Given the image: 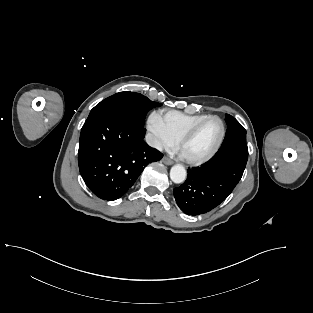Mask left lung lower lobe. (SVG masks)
I'll use <instances>...</instances> for the list:
<instances>
[{"mask_svg": "<svg viewBox=\"0 0 313 313\" xmlns=\"http://www.w3.org/2000/svg\"><path fill=\"white\" fill-rule=\"evenodd\" d=\"M248 159L246 140L228 141L205 164L188 170L173 194L187 215L204 214L222 203L240 181Z\"/></svg>", "mask_w": 313, "mask_h": 313, "instance_id": "left-lung-lower-lobe-1", "label": "left lung lower lobe"}]
</instances>
